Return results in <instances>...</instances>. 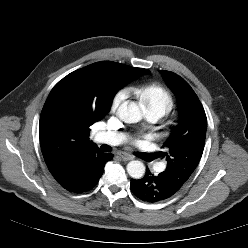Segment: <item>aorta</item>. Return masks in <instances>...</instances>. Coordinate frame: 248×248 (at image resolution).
Returning a JSON list of instances; mask_svg holds the SVG:
<instances>
[{
    "mask_svg": "<svg viewBox=\"0 0 248 248\" xmlns=\"http://www.w3.org/2000/svg\"><path fill=\"white\" fill-rule=\"evenodd\" d=\"M118 117L125 123H137L142 119V110L135 102L125 101L118 110ZM127 172L134 179H140L145 173V166L141 161L134 160L127 164Z\"/></svg>",
    "mask_w": 248,
    "mask_h": 248,
    "instance_id": "obj_1",
    "label": "aorta"
}]
</instances>
